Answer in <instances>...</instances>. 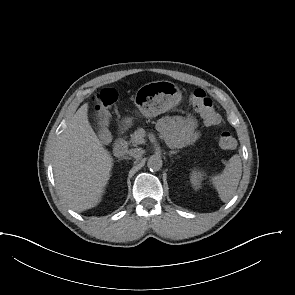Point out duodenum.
Wrapping results in <instances>:
<instances>
[{"instance_id": "duodenum-1", "label": "duodenum", "mask_w": 295, "mask_h": 295, "mask_svg": "<svg viewBox=\"0 0 295 295\" xmlns=\"http://www.w3.org/2000/svg\"><path fill=\"white\" fill-rule=\"evenodd\" d=\"M113 152L117 157H124L127 153V142L124 135L120 134L114 143Z\"/></svg>"}]
</instances>
